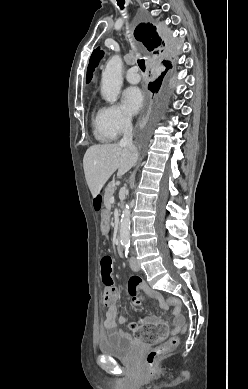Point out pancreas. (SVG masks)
<instances>
[{
  "label": "pancreas",
  "mask_w": 248,
  "mask_h": 389,
  "mask_svg": "<svg viewBox=\"0 0 248 389\" xmlns=\"http://www.w3.org/2000/svg\"><path fill=\"white\" fill-rule=\"evenodd\" d=\"M115 184L113 182H110L105 190L104 195V206L106 207V210L108 211L111 207L110 198L113 196V193L115 191Z\"/></svg>",
  "instance_id": "pancreas-1"
}]
</instances>
